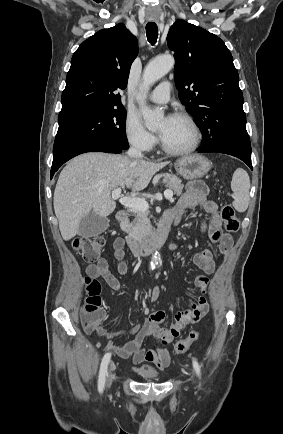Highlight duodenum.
I'll list each match as a JSON object with an SVG mask.
<instances>
[{"label":"duodenum","mask_w":283,"mask_h":434,"mask_svg":"<svg viewBox=\"0 0 283 434\" xmlns=\"http://www.w3.org/2000/svg\"><path fill=\"white\" fill-rule=\"evenodd\" d=\"M116 220L120 226H125L128 220L126 210H119L116 213ZM171 223L162 220L157 231L144 241H140L132 236H127V242L136 256H147L156 249L160 248L167 240Z\"/></svg>","instance_id":"duodenum-1"}]
</instances>
